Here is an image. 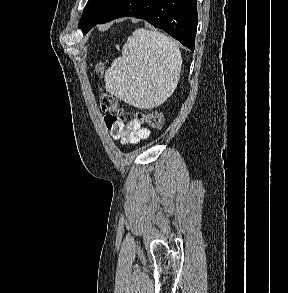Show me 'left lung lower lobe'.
<instances>
[{"label": "left lung lower lobe", "mask_w": 288, "mask_h": 293, "mask_svg": "<svg viewBox=\"0 0 288 293\" xmlns=\"http://www.w3.org/2000/svg\"><path fill=\"white\" fill-rule=\"evenodd\" d=\"M128 16L145 19L194 51L196 0H118L95 25Z\"/></svg>", "instance_id": "left-lung-lower-lobe-1"}]
</instances>
